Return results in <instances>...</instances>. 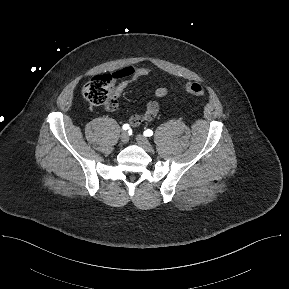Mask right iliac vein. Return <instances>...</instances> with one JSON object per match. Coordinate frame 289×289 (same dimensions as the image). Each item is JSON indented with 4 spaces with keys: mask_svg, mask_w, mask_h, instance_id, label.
<instances>
[{
    "mask_svg": "<svg viewBox=\"0 0 289 289\" xmlns=\"http://www.w3.org/2000/svg\"><path fill=\"white\" fill-rule=\"evenodd\" d=\"M120 140L122 143H127L129 141V135L127 132H122L120 135Z\"/></svg>",
    "mask_w": 289,
    "mask_h": 289,
    "instance_id": "right-iliac-vein-1",
    "label": "right iliac vein"
}]
</instances>
